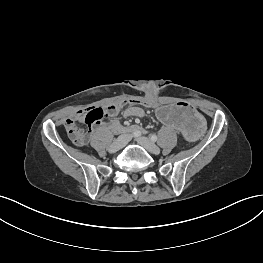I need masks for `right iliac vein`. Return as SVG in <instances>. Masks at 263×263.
Listing matches in <instances>:
<instances>
[{"label":"right iliac vein","instance_id":"1","mask_svg":"<svg viewBox=\"0 0 263 263\" xmlns=\"http://www.w3.org/2000/svg\"><path fill=\"white\" fill-rule=\"evenodd\" d=\"M129 138H130V135H128V134H123V135L119 136L110 145L109 152L115 153L118 150H120L121 148H123L127 144Z\"/></svg>","mask_w":263,"mask_h":263}]
</instances>
